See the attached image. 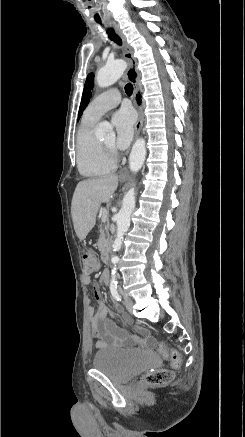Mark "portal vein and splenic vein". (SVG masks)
I'll list each match as a JSON object with an SVG mask.
<instances>
[{"label":"portal vein and splenic vein","mask_w":245,"mask_h":437,"mask_svg":"<svg viewBox=\"0 0 245 437\" xmlns=\"http://www.w3.org/2000/svg\"><path fill=\"white\" fill-rule=\"evenodd\" d=\"M89 202H90V200H89ZM107 217H108L107 210H103V212H102V221L105 222L107 220Z\"/></svg>","instance_id":"18ae733b"}]
</instances>
